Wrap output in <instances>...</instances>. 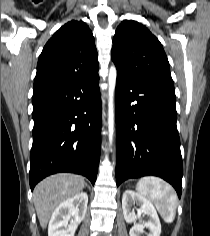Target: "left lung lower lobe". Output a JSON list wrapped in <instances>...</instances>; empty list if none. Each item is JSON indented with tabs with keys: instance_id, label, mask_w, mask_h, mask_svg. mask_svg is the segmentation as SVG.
<instances>
[{
	"instance_id": "1",
	"label": "left lung lower lobe",
	"mask_w": 210,
	"mask_h": 236,
	"mask_svg": "<svg viewBox=\"0 0 210 236\" xmlns=\"http://www.w3.org/2000/svg\"><path fill=\"white\" fill-rule=\"evenodd\" d=\"M174 87L117 75L116 183L155 175L182 191L183 163Z\"/></svg>"
}]
</instances>
